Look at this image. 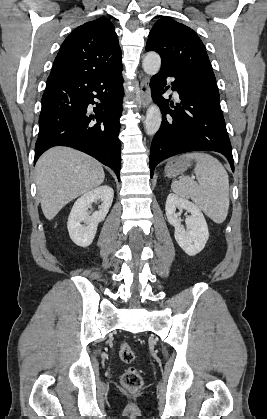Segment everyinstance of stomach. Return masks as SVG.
Segmentation results:
<instances>
[{"instance_id":"1","label":"stomach","mask_w":267,"mask_h":419,"mask_svg":"<svg viewBox=\"0 0 267 419\" xmlns=\"http://www.w3.org/2000/svg\"><path fill=\"white\" fill-rule=\"evenodd\" d=\"M192 164L191 159L174 158L165 167L166 176H175L187 170Z\"/></svg>"}]
</instances>
